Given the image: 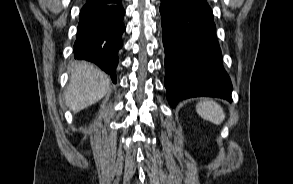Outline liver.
<instances>
[{
    "mask_svg": "<svg viewBox=\"0 0 293 184\" xmlns=\"http://www.w3.org/2000/svg\"><path fill=\"white\" fill-rule=\"evenodd\" d=\"M70 83L65 103L74 113L95 104L108 92L110 79L93 64L80 62L69 69Z\"/></svg>",
    "mask_w": 293,
    "mask_h": 184,
    "instance_id": "1",
    "label": "liver"
}]
</instances>
